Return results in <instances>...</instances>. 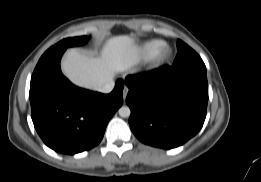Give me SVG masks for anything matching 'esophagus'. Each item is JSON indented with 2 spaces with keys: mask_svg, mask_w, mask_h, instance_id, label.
<instances>
[{
  "mask_svg": "<svg viewBox=\"0 0 261 182\" xmlns=\"http://www.w3.org/2000/svg\"><path fill=\"white\" fill-rule=\"evenodd\" d=\"M128 91H129L128 87L125 86V87L123 88V99H124V100L126 99V96H127V94H128Z\"/></svg>",
  "mask_w": 261,
  "mask_h": 182,
  "instance_id": "obj_1",
  "label": "esophagus"
}]
</instances>
